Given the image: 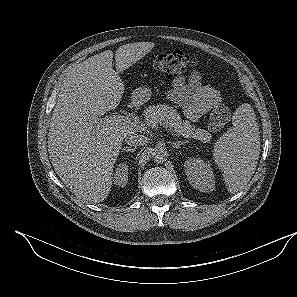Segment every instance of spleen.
<instances>
[{
  "label": "spleen",
  "instance_id": "spleen-1",
  "mask_svg": "<svg viewBox=\"0 0 297 297\" xmlns=\"http://www.w3.org/2000/svg\"><path fill=\"white\" fill-rule=\"evenodd\" d=\"M233 127L217 140L213 150L215 164L223 171L226 187L237 193L253 176L260 154V133L250 104L240 105L232 117Z\"/></svg>",
  "mask_w": 297,
  "mask_h": 297
}]
</instances>
